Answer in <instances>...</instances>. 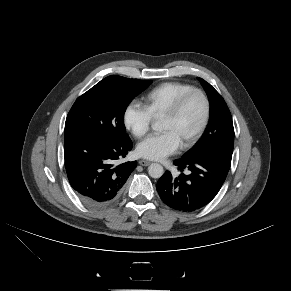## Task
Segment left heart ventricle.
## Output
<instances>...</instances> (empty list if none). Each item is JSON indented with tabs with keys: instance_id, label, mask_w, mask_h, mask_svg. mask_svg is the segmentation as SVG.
Returning a JSON list of instances; mask_svg holds the SVG:
<instances>
[{
	"instance_id": "left-heart-ventricle-1",
	"label": "left heart ventricle",
	"mask_w": 291,
	"mask_h": 291,
	"mask_svg": "<svg viewBox=\"0 0 291 291\" xmlns=\"http://www.w3.org/2000/svg\"><path fill=\"white\" fill-rule=\"evenodd\" d=\"M203 110L202 99L198 95H195L186 102L176 117L162 118L161 130L174 132L182 144L198 128L203 116Z\"/></svg>"
}]
</instances>
